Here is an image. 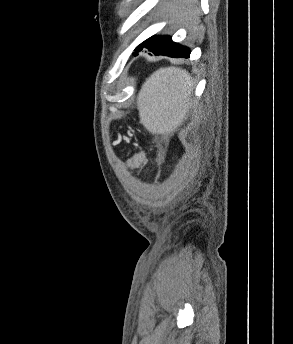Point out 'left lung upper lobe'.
Masks as SVG:
<instances>
[{
  "label": "left lung upper lobe",
  "mask_w": 293,
  "mask_h": 344,
  "mask_svg": "<svg viewBox=\"0 0 293 344\" xmlns=\"http://www.w3.org/2000/svg\"><path fill=\"white\" fill-rule=\"evenodd\" d=\"M171 40V37L169 36H162V37H158V36H152L149 39H147L146 41H144L143 43H141L139 46L136 47V51L142 49L143 47H145L146 45H162V44H166Z\"/></svg>",
  "instance_id": "1"
}]
</instances>
